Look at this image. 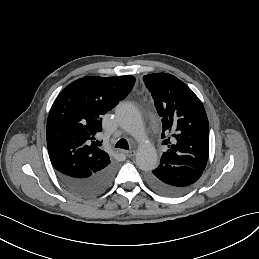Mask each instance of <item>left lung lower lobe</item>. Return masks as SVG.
<instances>
[{"mask_svg":"<svg viewBox=\"0 0 259 259\" xmlns=\"http://www.w3.org/2000/svg\"><path fill=\"white\" fill-rule=\"evenodd\" d=\"M202 171L188 166L160 164L146 177L148 185L166 196H179L186 193L200 178Z\"/></svg>","mask_w":259,"mask_h":259,"instance_id":"obj_1","label":"left lung lower lobe"}]
</instances>
